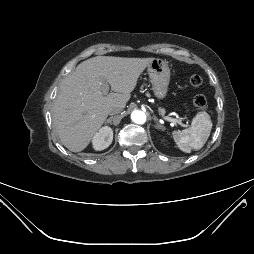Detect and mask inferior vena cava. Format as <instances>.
<instances>
[{
	"mask_svg": "<svg viewBox=\"0 0 254 254\" xmlns=\"http://www.w3.org/2000/svg\"><path fill=\"white\" fill-rule=\"evenodd\" d=\"M122 110H123L122 107L114 106V107H112V108L110 109L109 114H110V115H115V114L120 113Z\"/></svg>",
	"mask_w": 254,
	"mask_h": 254,
	"instance_id": "602c4592",
	"label": "inferior vena cava"
}]
</instances>
